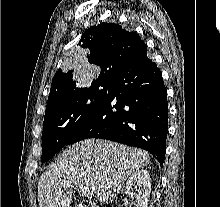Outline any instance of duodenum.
<instances>
[{
	"instance_id": "obj_1",
	"label": "duodenum",
	"mask_w": 220,
	"mask_h": 207,
	"mask_svg": "<svg viewBox=\"0 0 220 207\" xmlns=\"http://www.w3.org/2000/svg\"><path fill=\"white\" fill-rule=\"evenodd\" d=\"M77 207H98V206H83V205H78Z\"/></svg>"
}]
</instances>
